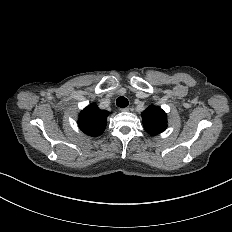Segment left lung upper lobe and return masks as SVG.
<instances>
[{
    "instance_id": "obj_1",
    "label": "left lung upper lobe",
    "mask_w": 232,
    "mask_h": 232,
    "mask_svg": "<svg viewBox=\"0 0 232 232\" xmlns=\"http://www.w3.org/2000/svg\"><path fill=\"white\" fill-rule=\"evenodd\" d=\"M144 129L152 136L163 132L167 128V115L157 106H149L141 114Z\"/></svg>"
}]
</instances>
